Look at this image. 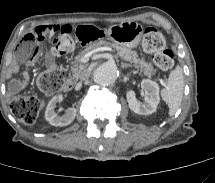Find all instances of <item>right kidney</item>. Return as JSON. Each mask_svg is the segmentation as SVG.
<instances>
[{
    "label": "right kidney",
    "instance_id": "right-kidney-1",
    "mask_svg": "<svg viewBox=\"0 0 215 183\" xmlns=\"http://www.w3.org/2000/svg\"><path fill=\"white\" fill-rule=\"evenodd\" d=\"M63 95L59 94L54 96L48 103L46 111H45V119L52 125V126H67L69 125L76 116V109L75 108H68L65 111V114L59 116L55 112V108L57 103L63 100Z\"/></svg>",
    "mask_w": 215,
    "mask_h": 183
}]
</instances>
